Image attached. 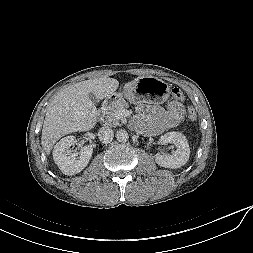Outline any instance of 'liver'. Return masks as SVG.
<instances>
[{"instance_id": "6515ba94", "label": "liver", "mask_w": 253, "mask_h": 253, "mask_svg": "<svg viewBox=\"0 0 253 253\" xmlns=\"http://www.w3.org/2000/svg\"><path fill=\"white\" fill-rule=\"evenodd\" d=\"M140 77L125 83L124 88L136 84ZM119 87L118 80L101 77L82 81L58 92L54 96L43 123L41 144L46 154L64 135L83 132L94 128L97 122V109L89 99L93 93L97 99L109 97Z\"/></svg>"}]
</instances>
